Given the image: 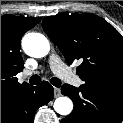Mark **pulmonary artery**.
<instances>
[{
  "label": "pulmonary artery",
  "mask_w": 123,
  "mask_h": 123,
  "mask_svg": "<svg viewBox=\"0 0 123 123\" xmlns=\"http://www.w3.org/2000/svg\"><path fill=\"white\" fill-rule=\"evenodd\" d=\"M49 65L56 76L72 85H79V78L67 68L57 54H51L49 56ZM30 73L26 71L25 75H30Z\"/></svg>",
  "instance_id": "pulmonary-artery-1"
}]
</instances>
